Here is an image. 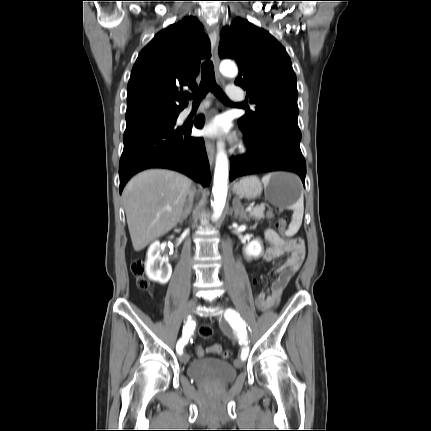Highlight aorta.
I'll return each instance as SVG.
<instances>
[{
	"instance_id": "762f6f07",
	"label": "aorta",
	"mask_w": 431,
	"mask_h": 431,
	"mask_svg": "<svg viewBox=\"0 0 431 431\" xmlns=\"http://www.w3.org/2000/svg\"><path fill=\"white\" fill-rule=\"evenodd\" d=\"M220 72L224 76L234 77L237 75L238 70L236 65L231 61H223L220 64ZM228 158L222 149V145H219V151L216 158V165L214 171V183H213V220H217L225 207L227 191H228Z\"/></svg>"
}]
</instances>
